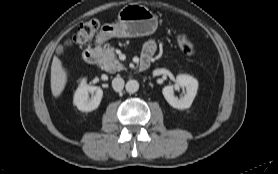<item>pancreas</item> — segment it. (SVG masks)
<instances>
[{
    "mask_svg": "<svg viewBox=\"0 0 278 174\" xmlns=\"http://www.w3.org/2000/svg\"><path fill=\"white\" fill-rule=\"evenodd\" d=\"M101 67L110 73H115L124 69L123 64L117 59L113 47L108 46L103 49Z\"/></svg>",
    "mask_w": 278,
    "mask_h": 174,
    "instance_id": "1",
    "label": "pancreas"
}]
</instances>
